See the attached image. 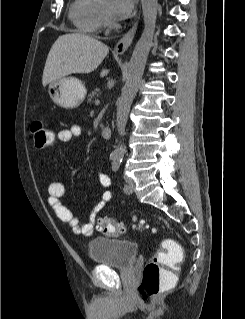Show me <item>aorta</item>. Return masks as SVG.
Returning a JSON list of instances; mask_svg holds the SVG:
<instances>
[{
    "mask_svg": "<svg viewBox=\"0 0 245 319\" xmlns=\"http://www.w3.org/2000/svg\"><path fill=\"white\" fill-rule=\"evenodd\" d=\"M141 4L144 29L132 53L126 82L117 107L116 126L120 137L125 135L130 107L137 94L155 32L158 0H141ZM124 153V144L120 141L112 152V159L119 162L123 159Z\"/></svg>",
    "mask_w": 245,
    "mask_h": 319,
    "instance_id": "obj_1",
    "label": "aorta"
}]
</instances>
